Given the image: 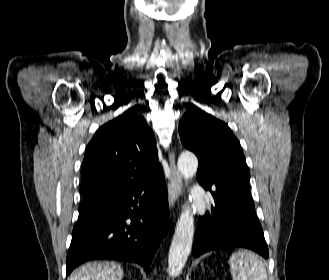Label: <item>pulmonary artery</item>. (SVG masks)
<instances>
[{
    "label": "pulmonary artery",
    "instance_id": "1",
    "mask_svg": "<svg viewBox=\"0 0 329 280\" xmlns=\"http://www.w3.org/2000/svg\"><path fill=\"white\" fill-rule=\"evenodd\" d=\"M202 187L199 186V185H194L193 186V189H192V196L195 198V199H198V198H201V194H202Z\"/></svg>",
    "mask_w": 329,
    "mask_h": 280
}]
</instances>
